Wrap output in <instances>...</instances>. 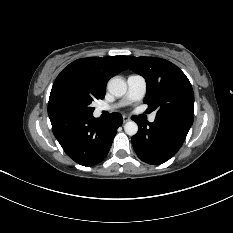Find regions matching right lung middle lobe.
<instances>
[{
    "mask_svg": "<svg viewBox=\"0 0 233 233\" xmlns=\"http://www.w3.org/2000/svg\"><path fill=\"white\" fill-rule=\"evenodd\" d=\"M95 99L88 91L72 85H61L50 93L48 115L60 113L92 114L91 103Z\"/></svg>",
    "mask_w": 233,
    "mask_h": 233,
    "instance_id": "right-lung-middle-lobe-1",
    "label": "right lung middle lobe"
}]
</instances>
